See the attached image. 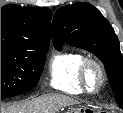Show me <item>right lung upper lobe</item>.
Masks as SVG:
<instances>
[{
	"mask_svg": "<svg viewBox=\"0 0 123 113\" xmlns=\"http://www.w3.org/2000/svg\"><path fill=\"white\" fill-rule=\"evenodd\" d=\"M48 8L6 5L1 8V43L50 40Z\"/></svg>",
	"mask_w": 123,
	"mask_h": 113,
	"instance_id": "right-lung-upper-lobe-1",
	"label": "right lung upper lobe"
}]
</instances>
